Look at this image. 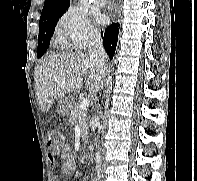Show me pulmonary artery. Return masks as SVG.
Wrapping results in <instances>:
<instances>
[{
  "mask_svg": "<svg viewBox=\"0 0 197 181\" xmlns=\"http://www.w3.org/2000/svg\"><path fill=\"white\" fill-rule=\"evenodd\" d=\"M92 1L97 6H103L106 3V0H92Z\"/></svg>",
  "mask_w": 197,
  "mask_h": 181,
  "instance_id": "1",
  "label": "pulmonary artery"
}]
</instances>
